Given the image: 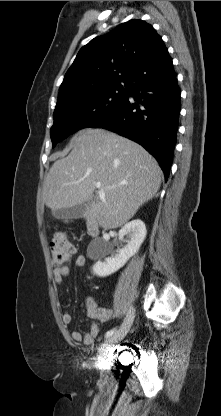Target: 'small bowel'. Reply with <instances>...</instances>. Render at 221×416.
Listing matches in <instances>:
<instances>
[{
  "instance_id": "c3829d8e",
  "label": "small bowel",
  "mask_w": 221,
  "mask_h": 416,
  "mask_svg": "<svg viewBox=\"0 0 221 416\" xmlns=\"http://www.w3.org/2000/svg\"><path fill=\"white\" fill-rule=\"evenodd\" d=\"M72 264L76 268H80L85 264V257L83 255H76ZM69 273V267L66 264L58 265L53 269L54 281L57 285H62L64 278ZM87 316L92 319H96L99 322H107L114 318V311L112 309L99 307L92 299L86 302ZM64 325L71 323L72 316L68 312H64L61 316ZM99 335V326L93 323L90 329L86 333H81L77 330L71 332V338L75 342H80L85 346H92L95 339Z\"/></svg>"
}]
</instances>
